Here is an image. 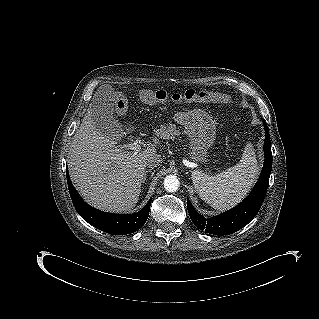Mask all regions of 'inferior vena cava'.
Masks as SVG:
<instances>
[{
	"instance_id": "1",
	"label": "inferior vena cava",
	"mask_w": 319,
	"mask_h": 319,
	"mask_svg": "<svg viewBox=\"0 0 319 319\" xmlns=\"http://www.w3.org/2000/svg\"><path fill=\"white\" fill-rule=\"evenodd\" d=\"M162 158L159 154H153L146 160V166L148 168H155L162 163Z\"/></svg>"
}]
</instances>
